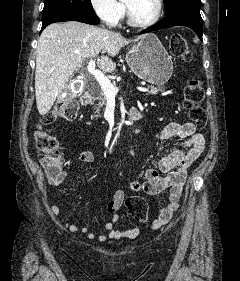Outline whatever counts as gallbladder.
I'll return each instance as SVG.
<instances>
[{"label":"gallbladder","instance_id":"bac80fb5","mask_svg":"<svg viewBox=\"0 0 240 281\" xmlns=\"http://www.w3.org/2000/svg\"><path fill=\"white\" fill-rule=\"evenodd\" d=\"M71 97V89H66L65 95L62 97V100L69 99Z\"/></svg>","mask_w":240,"mask_h":281}]
</instances>
